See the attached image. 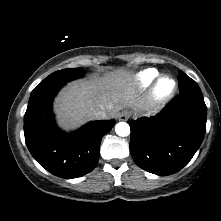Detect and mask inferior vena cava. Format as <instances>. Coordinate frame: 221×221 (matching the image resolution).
Wrapping results in <instances>:
<instances>
[{
	"mask_svg": "<svg viewBox=\"0 0 221 221\" xmlns=\"http://www.w3.org/2000/svg\"><path fill=\"white\" fill-rule=\"evenodd\" d=\"M92 116L94 119H98V120L107 118V114L103 110L93 111Z\"/></svg>",
	"mask_w": 221,
	"mask_h": 221,
	"instance_id": "1",
	"label": "inferior vena cava"
}]
</instances>
